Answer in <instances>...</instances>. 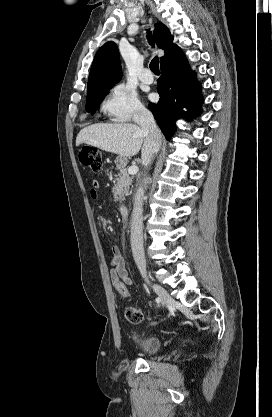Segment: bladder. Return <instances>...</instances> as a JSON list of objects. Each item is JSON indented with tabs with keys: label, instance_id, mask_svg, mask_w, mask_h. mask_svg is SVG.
Here are the masks:
<instances>
[{
	"label": "bladder",
	"instance_id": "1",
	"mask_svg": "<svg viewBox=\"0 0 272 417\" xmlns=\"http://www.w3.org/2000/svg\"><path fill=\"white\" fill-rule=\"evenodd\" d=\"M140 350L147 356L155 355L161 346V342L156 337H148L140 341Z\"/></svg>",
	"mask_w": 272,
	"mask_h": 417
}]
</instances>
